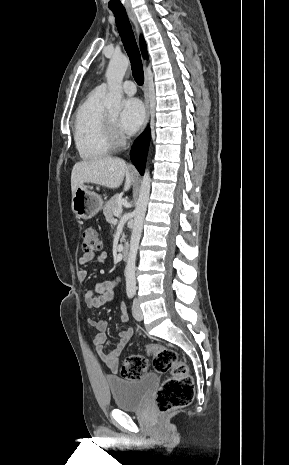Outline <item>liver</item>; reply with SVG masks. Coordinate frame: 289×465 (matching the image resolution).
Listing matches in <instances>:
<instances>
[{"label": "liver", "instance_id": "6515ba94", "mask_svg": "<svg viewBox=\"0 0 289 465\" xmlns=\"http://www.w3.org/2000/svg\"><path fill=\"white\" fill-rule=\"evenodd\" d=\"M124 177V191H128L133 182V172L123 159L103 157L78 162L73 166L71 173L72 195L84 183H94L110 189H116L120 187Z\"/></svg>", "mask_w": 289, "mask_h": 465}]
</instances>
